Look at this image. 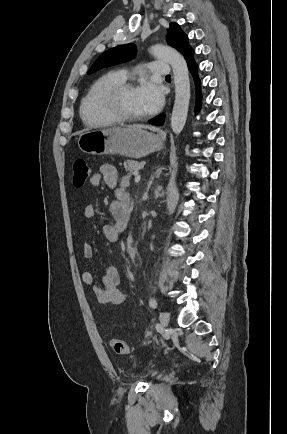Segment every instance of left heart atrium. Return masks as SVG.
Instances as JSON below:
<instances>
[{
  "label": "left heart atrium",
  "mask_w": 287,
  "mask_h": 434,
  "mask_svg": "<svg viewBox=\"0 0 287 434\" xmlns=\"http://www.w3.org/2000/svg\"><path fill=\"white\" fill-rule=\"evenodd\" d=\"M137 98L146 114L157 112L164 103L163 88L154 81H145L136 89Z\"/></svg>",
  "instance_id": "1"
}]
</instances>
